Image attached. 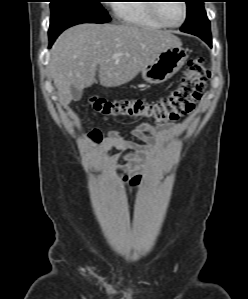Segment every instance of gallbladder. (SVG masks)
I'll list each match as a JSON object with an SVG mask.
<instances>
[{"mask_svg": "<svg viewBox=\"0 0 248 299\" xmlns=\"http://www.w3.org/2000/svg\"><path fill=\"white\" fill-rule=\"evenodd\" d=\"M71 94H72V98L74 101H79L82 98L83 95V91L82 90H78L75 87H71Z\"/></svg>", "mask_w": 248, "mask_h": 299, "instance_id": "gallbladder-1", "label": "gallbladder"}]
</instances>
